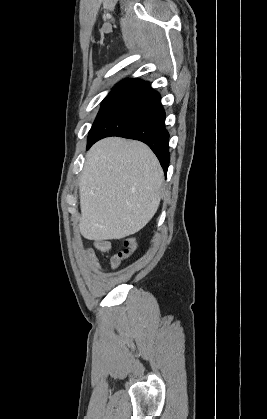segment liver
I'll return each mask as SVG.
<instances>
[{
  "label": "liver",
  "instance_id": "6515ba94",
  "mask_svg": "<svg viewBox=\"0 0 267 419\" xmlns=\"http://www.w3.org/2000/svg\"><path fill=\"white\" fill-rule=\"evenodd\" d=\"M163 170L142 142L100 140L86 154L79 183L81 234L95 241L140 231L156 213Z\"/></svg>",
  "mask_w": 267,
  "mask_h": 419
}]
</instances>
